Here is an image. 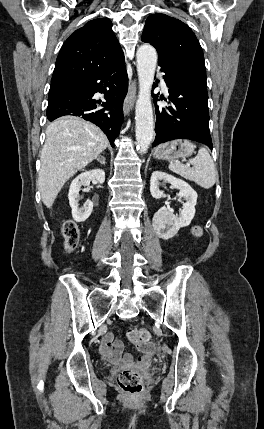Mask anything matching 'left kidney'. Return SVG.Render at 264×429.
I'll return each instance as SVG.
<instances>
[{
  "mask_svg": "<svg viewBox=\"0 0 264 429\" xmlns=\"http://www.w3.org/2000/svg\"><path fill=\"white\" fill-rule=\"evenodd\" d=\"M160 180L170 183L173 188L179 190V201L182 198L186 201L183 202L180 217L166 207H161L153 216L152 225L156 234L160 238L168 240L174 237L180 228L186 227L191 223L195 215L197 193L187 182L165 172L154 171L150 180V192L155 199H160L163 196V192L159 189Z\"/></svg>",
  "mask_w": 264,
  "mask_h": 429,
  "instance_id": "5707ae66",
  "label": "left kidney"
}]
</instances>
